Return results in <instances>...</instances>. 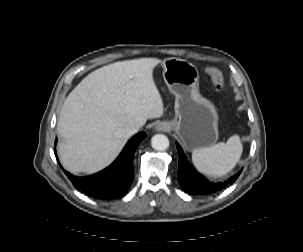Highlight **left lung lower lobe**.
Returning a JSON list of instances; mask_svg holds the SVG:
<instances>
[{
    "instance_id": "left-lung-lower-lobe-1",
    "label": "left lung lower lobe",
    "mask_w": 303,
    "mask_h": 252,
    "mask_svg": "<svg viewBox=\"0 0 303 252\" xmlns=\"http://www.w3.org/2000/svg\"><path fill=\"white\" fill-rule=\"evenodd\" d=\"M177 150L179 156L178 181L181 187L188 193L207 194L220 191L233 183L241 173L239 171L236 175L222 183H210L189 164L179 145H177Z\"/></svg>"
}]
</instances>
